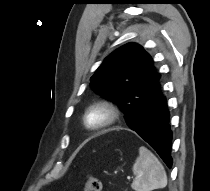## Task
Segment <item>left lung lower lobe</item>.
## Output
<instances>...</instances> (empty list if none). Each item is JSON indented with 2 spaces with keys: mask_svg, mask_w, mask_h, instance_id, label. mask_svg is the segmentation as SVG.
I'll return each instance as SVG.
<instances>
[{
  "mask_svg": "<svg viewBox=\"0 0 210 191\" xmlns=\"http://www.w3.org/2000/svg\"><path fill=\"white\" fill-rule=\"evenodd\" d=\"M159 79L160 76L158 81L154 82L150 93L138 103L133 120L128 121V119L126 122L171 168L172 131L170 115Z\"/></svg>",
  "mask_w": 210,
  "mask_h": 191,
  "instance_id": "1",
  "label": "left lung lower lobe"
}]
</instances>
